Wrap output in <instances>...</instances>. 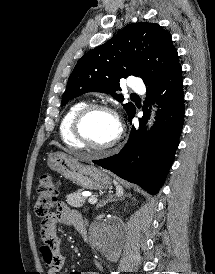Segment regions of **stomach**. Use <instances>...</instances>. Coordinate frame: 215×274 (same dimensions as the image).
Instances as JSON below:
<instances>
[{
  "label": "stomach",
  "instance_id": "1",
  "mask_svg": "<svg viewBox=\"0 0 215 274\" xmlns=\"http://www.w3.org/2000/svg\"><path fill=\"white\" fill-rule=\"evenodd\" d=\"M47 164L50 169L85 189L103 190L111 186V179L105 172L95 166L81 164L62 152L50 154Z\"/></svg>",
  "mask_w": 215,
  "mask_h": 274
}]
</instances>
